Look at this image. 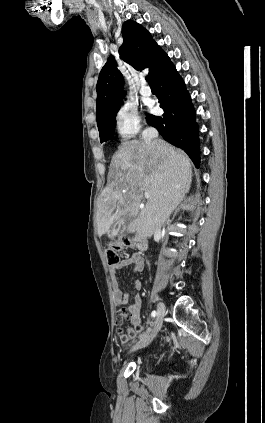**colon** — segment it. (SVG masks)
Listing matches in <instances>:
<instances>
[{"label":"colon","mask_w":265,"mask_h":423,"mask_svg":"<svg viewBox=\"0 0 265 423\" xmlns=\"http://www.w3.org/2000/svg\"><path fill=\"white\" fill-rule=\"evenodd\" d=\"M131 240L126 235H118L111 239L110 244L108 248L105 251L106 261L109 265H115L120 262V251H122L124 248L131 246ZM128 315L125 311L121 312V318L118 320V322H121L122 319L126 318ZM119 334L122 336L124 335L123 332H119Z\"/></svg>","instance_id":"5ec220e1"}]
</instances>
